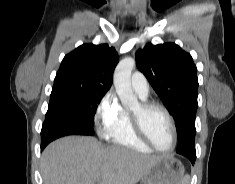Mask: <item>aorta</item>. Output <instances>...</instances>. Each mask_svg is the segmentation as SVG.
<instances>
[{"label":"aorta","instance_id":"1","mask_svg":"<svg viewBox=\"0 0 235 184\" xmlns=\"http://www.w3.org/2000/svg\"><path fill=\"white\" fill-rule=\"evenodd\" d=\"M135 68V60L133 58H125L119 62L114 72V86L121 100L122 106H138L137 96H135L131 88V74Z\"/></svg>","mask_w":235,"mask_h":184}]
</instances>
